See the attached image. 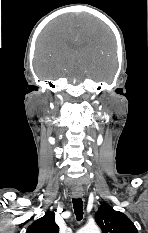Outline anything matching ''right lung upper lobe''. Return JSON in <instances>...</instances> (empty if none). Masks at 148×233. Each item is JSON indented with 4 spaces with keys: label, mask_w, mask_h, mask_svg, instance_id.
<instances>
[{
    "label": "right lung upper lobe",
    "mask_w": 148,
    "mask_h": 233,
    "mask_svg": "<svg viewBox=\"0 0 148 233\" xmlns=\"http://www.w3.org/2000/svg\"><path fill=\"white\" fill-rule=\"evenodd\" d=\"M59 227L55 223V215L52 212H46L45 215L32 223L26 233H58Z\"/></svg>",
    "instance_id": "right-lung-upper-lobe-1"
}]
</instances>
